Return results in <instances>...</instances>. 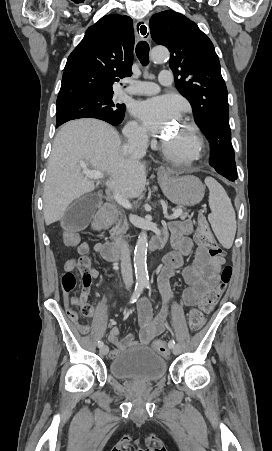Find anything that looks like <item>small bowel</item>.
<instances>
[{"mask_svg":"<svg viewBox=\"0 0 272 451\" xmlns=\"http://www.w3.org/2000/svg\"><path fill=\"white\" fill-rule=\"evenodd\" d=\"M168 229L171 233V241L174 247V252L168 254L164 258V262L160 268L158 275L159 288L166 299V305L162 308L159 314L152 318L150 304L146 299H142L138 303V317L140 329L138 335L129 333L123 339L119 338V331L117 328L110 330L108 339L113 345V349L109 356L111 359L117 358L124 350L134 346H147L164 332L167 326L169 317V301L170 293V279L181 271V276L187 284L182 294V302L186 306L197 305L206 289L217 284L219 281V274L225 264V258L222 254L221 260H210L209 252L206 248L199 245L195 250V242L192 238L194 227L188 220L174 221L169 224ZM97 250L100 246H97ZM195 250L194 261L191 265H184L186 257L190 256ZM77 252H89V245L81 243L77 247ZM67 265V263H66ZM99 277V272L96 269L95 274H81L82 293L79 299L65 300L66 305L81 304L82 300H87L91 292V284L93 279ZM75 311L67 308V314ZM91 313H83L85 316H92Z\"/></svg>","mask_w":272,"mask_h":451,"instance_id":"obj_1","label":"small bowel"}]
</instances>
